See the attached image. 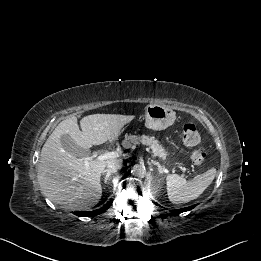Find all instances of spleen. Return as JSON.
Segmentation results:
<instances>
[{
    "label": "spleen",
    "mask_w": 261,
    "mask_h": 261,
    "mask_svg": "<svg viewBox=\"0 0 261 261\" xmlns=\"http://www.w3.org/2000/svg\"><path fill=\"white\" fill-rule=\"evenodd\" d=\"M216 173V169L211 168L189 181L177 174L168 175L166 177V189L169 200L172 203L179 204L196 199L212 183Z\"/></svg>",
    "instance_id": "spleen-1"
}]
</instances>
